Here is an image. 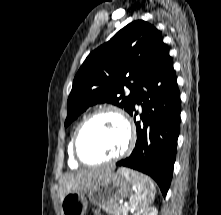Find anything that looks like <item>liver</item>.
I'll return each instance as SVG.
<instances>
[{
	"mask_svg": "<svg viewBox=\"0 0 221 215\" xmlns=\"http://www.w3.org/2000/svg\"><path fill=\"white\" fill-rule=\"evenodd\" d=\"M110 173V168H98L65 176L59 189L60 201L68 193L91 189Z\"/></svg>",
	"mask_w": 221,
	"mask_h": 215,
	"instance_id": "liver-1",
	"label": "liver"
}]
</instances>
